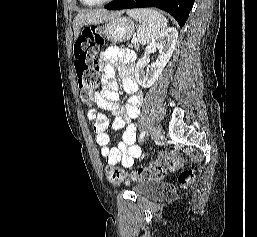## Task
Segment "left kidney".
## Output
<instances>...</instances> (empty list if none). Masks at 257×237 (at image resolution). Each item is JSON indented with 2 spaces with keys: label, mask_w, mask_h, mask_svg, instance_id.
<instances>
[{
  "label": "left kidney",
  "mask_w": 257,
  "mask_h": 237,
  "mask_svg": "<svg viewBox=\"0 0 257 237\" xmlns=\"http://www.w3.org/2000/svg\"><path fill=\"white\" fill-rule=\"evenodd\" d=\"M178 39V31L171 27L156 37L145 49L144 56L140 58L135 67V78L144 88L151 87L161 75L164 67L171 58ZM160 53L159 60L149 64L148 55L155 50ZM147 67V71L144 68Z\"/></svg>",
  "instance_id": "obj_1"
}]
</instances>
